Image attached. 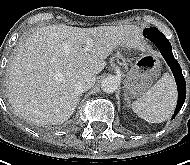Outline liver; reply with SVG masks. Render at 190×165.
Returning <instances> with one entry per match:
<instances>
[{
    "mask_svg": "<svg viewBox=\"0 0 190 165\" xmlns=\"http://www.w3.org/2000/svg\"><path fill=\"white\" fill-rule=\"evenodd\" d=\"M136 26L38 28L19 45L9 63L7 97L17 115L42 126L69 119L79 102L77 76L99 74L119 46L139 47ZM93 40L84 52L87 39Z\"/></svg>",
    "mask_w": 190,
    "mask_h": 165,
    "instance_id": "obj_1",
    "label": "liver"
}]
</instances>
